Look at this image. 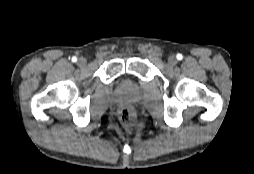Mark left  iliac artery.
<instances>
[{
  "label": "left iliac artery",
  "mask_w": 254,
  "mask_h": 174,
  "mask_svg": "<svg viewBox=\"0 0 254 174\" xmlns=\"http://www.w3.org/2000/svg\"><path fill=\"white\" fill-rule=\"evenodd\" d=\"M183 58L182 54H177V59L181 60Z\"/></svg>",
  "instance_id": "1"
}]
</instances>
